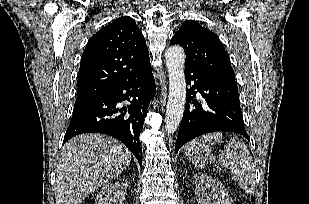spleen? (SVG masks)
<instances>
[{
  "instance_id": "1",
  "label": "spleen",
  "mask_w": 309,
  "mask_h": 204,
  "mask_svg": "<svg viewBox=\"0 0 309 204\" xmlns=\"http://www.w3.org/2000/svg\"><path fill=\"white\" fill-rule=\"evenodd\" d=\"M223 135L220 132L209 133L198 137L185 146L186 157L195 168L202 169L206 163L215 162L209 145L222 143ZM218 163L225 169H230L232 178L246 193H254L255 168L253 158L242 139L233 137L226 149L218 156Z\"/></svg>"
}]
</instances>
